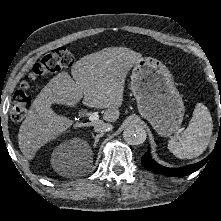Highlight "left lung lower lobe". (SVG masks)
<instances>
[{
  "instance_id": "left-lung-lower-lobe-1",
  "label": "left lung lower lobe",
  "mask_w": 221,
  "mask_h": 221,
  "mask_svg": "<svg viewBox=\"0 0 221 221\" xmlns=\"http://www.w3.org/2000/svg\"><path fill=\"white\" fill-rule=\"evenodd\" d=\"M207 160H208V157L199 163L172 169V168L161 166L160 164L156 163L150 157V147H148V152L142 156L141 163L143 167L149 171L160 173L166 176L182 177L185 175H189L197 171L198 169H200L207 162Z\"/></svg>"
}]
</instances>
